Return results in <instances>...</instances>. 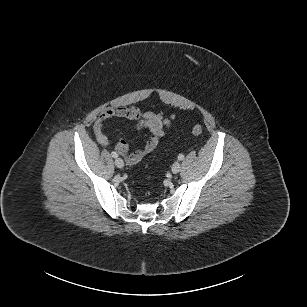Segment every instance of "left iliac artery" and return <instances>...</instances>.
<instances>
[{"label":"left iliac artery","mask_w":307,"mask_h":307,"mask_svg":"<svg viewBox=\"0 0 307 307\" xmlns=\"http://www.w3.org/2000/svg\"><path fill=\"white\" fill-rule=\"evenodd\" d=\"M184 159V155L183 154H179L178 155V160H183Z\"/></svg>","instance_id":"obj_1"}]
</instances>
